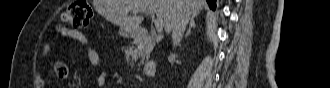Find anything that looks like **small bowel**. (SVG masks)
Masks as SVG:
<instances>
[{
	"instance_id": "1",
	"label": "small bowel",
	"mask_w": 330,
	"mask_h": 88,
	"mask_svg": "<svg viewBox=\"0 0 330 88\" xmlns=\"http://www.w3.org/2000/svg\"><path fill=\"white\" fill-rule=\"evenodd\" d=\"M60 34L62 36L68 37L70 39H73L75 41H78L82 45L86 47V56L88 61L99 70V76H98V84L103 85L106 79V72L103 68L102 60L99 56V54L93 49V47L90 44V41L88 37L82 33L79 30L76 29H70V28H62L60 30ZM44 52H48V48L44 49Z\"/></svg>"
}]
</instances>
